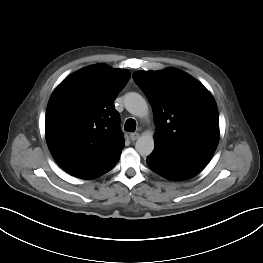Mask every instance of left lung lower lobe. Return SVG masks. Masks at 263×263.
Wrapping results in <instances>:
<instances>
[{
    "mask_svg": "<svg viewBox=\"0 0 263 263\" xmlns=\"http://www.w3.org/2000/svg\"><path fill=\"white\" fill-rule=\"evenodd\" d=\"M213 154V151L205 149L155 143V149L147 158V164L158 175L169 180L181 181L201 172Z\"/></svg>",
    "mask_w": 263,
    "mask_h": 263,
    "instance_id": "obj_1",
    "label": "left lung lower lobe"
}]
</instances>
